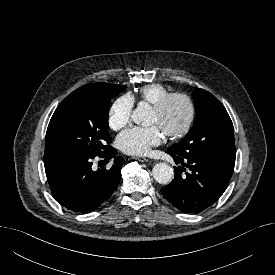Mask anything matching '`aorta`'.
<instances>
[{"mask_svg":"<svg viewBox=\"0 0 275 275\" xmlns=\"http://www.w3.org/2000/svg\"><path fill=\"white\" fill-rule=\"evenodd\" d=\"M151 107L149 104L141 102L133 111L132 120L139 125L150 124ZM154 179L160 184L169 183L174 177L173 168L165 162L157 163L152 170Z\"/></svg>","mask_w":275,"mask_h":275,"instance_id":"aorta-1","label":"aorta"}]
</instances>
